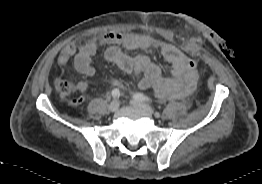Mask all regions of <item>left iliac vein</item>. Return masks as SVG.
Masks as SVG:
<instances>
[{
  "label": "left iliac vein",
  "instance_id": "1",
  "mask_svg": "<svg viewBox=\"0 0 262 184\" xmlns=\"http://www.w3.org/2000/svg\"><path fill=\"white\" fill-rule=\"evenodd\" d=\"M131 104H132L133 106H135V107H138V108L144 110L146 113H148V114H150V115H153V114H154L153 109H152L148 104H146V103H144V102H141V101H138V100L133 99V100L131 101Z\"/></svg>",
  "mask_w": 262,
  "mask_h": 184
}]
</instances>
